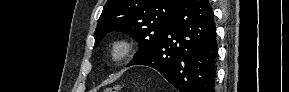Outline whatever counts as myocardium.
I'll return each mask as SVG.
<instances>
[{"label": "myocardium", "instance_id": "1", "mask_svg": "<svg viewBox=\"0 0 289 92\" xmlns=\"http://www.w3.org/2000/svg\"><path fill=\"white\" fill-rule=\"evenodd\" d=\"M135 52L134 42L128 38L120 37L113 40L109 46V60L119 65L129 60Z\"/></svg>", "mask_w": 289, "mask_h": 92}]
</instances>
